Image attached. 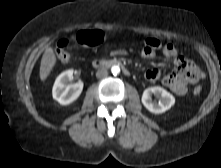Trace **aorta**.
Masks as SVG:
<instances>
[{"instance_id":"obj_1","label":"aorta","mask_w":221,"mask_h":168,"mask_svg":"<svg viewBox=\"0 0 221 168\" xmlns=\"http://www.w3.org/2000/svg\"><path fill=\"white\" fill-rule=\"evenodd\" d=\"M111 72L114 76L118 75L120 73V67L118 65L112 66Z\"/></svg>"}]
</instances>
